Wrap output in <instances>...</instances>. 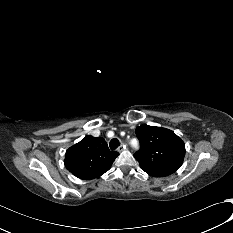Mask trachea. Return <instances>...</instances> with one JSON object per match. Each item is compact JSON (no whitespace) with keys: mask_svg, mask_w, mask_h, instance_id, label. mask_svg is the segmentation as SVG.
Instances as JSON below:
<instances>
[{"mask_svg":"<svg viewBox=\"0 0 233 233\" xmlns=\"http://www.w3.org/2000/svg\"><path fill=\"white\" fill-rule=\"evenodd\" d=\"M110 149L115 150L119 146V140L116 138H113L109 143Z\"/></svg>","mask_w":233,"mask_h":233,"instance_id":"obj_1","label":"trachea"}]
</instances>
